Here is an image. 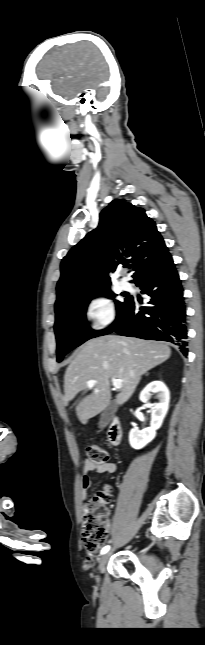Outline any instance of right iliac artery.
Wrapping results in <instances>:
<instances>
[{"label":"right iliac artery","mask_w":205,"mask_h":645,"mask_svg":"<svg viewBox=\"0 0 205 645\" xmlns=\"http://www.w3.org/2000/svg\"><path fill=\"white\" fill-rule=\"evenodd\" d=\"M109 549H110V546H109V545H107V546L103 547V548H102V550H101V554H105V553H107V552L109 551Z\"/></svg>","instance_id":"obj_1"}]
</instances>
